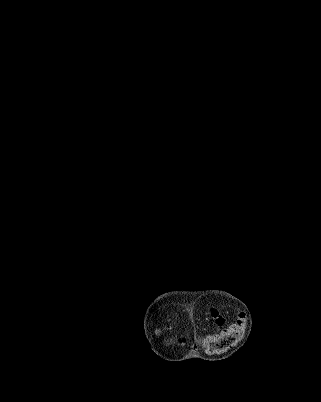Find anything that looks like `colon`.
Masks as SVG:
<instances>
[{
  "label": "colon",
  "instance_id": "5ec220e1",
  "mask_svg": "<svg viewBox=\"0 0 321 402\" xmlns=\"http://www.w3.org/2000/svg\"><path fill=\"white\" fill-rule=\"evenodd\" d=\"M246 324L247 318L240 316L233 324L224 328L221 332L205 338L203 340V348L210 353L230 348L241 338Z\"/></svg>",
  "mask_w": 321,
  "mask_h": 402
}]
</instances>
